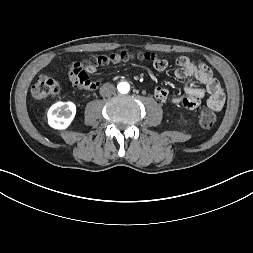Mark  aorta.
I'll return each mask as SVG.
<instances>
[{
	"label": "aorta",
	"mask_w": 253,
	"mask_h": 253,
	"mask_svg": "<svg viewBox=\"0 0 253 253\" xmlns=\"http://www.w3.org/2000/svg\"><path fill=\"white\" fill-rule=\"evenodd\" d=\"M117 89L121 94H127L130 90V84L128 82H120L117 85Z\"/></svg>",
	"instance_id": "762f6f07"
}]
</instances>
